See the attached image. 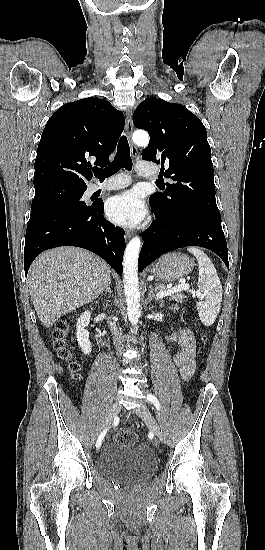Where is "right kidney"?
<instances>
[{
    "label": "right kidney",
    "instance_id": "obj_1",
    "mask_svg": "<svg viewBox=\"0 0 265 550\" xmlns=\"http://www.w3.org/2000/svg\"><path fill=\"white\" fill-rule=\"evenodd\" d=\"M90 321V312L85 311L77 319V341L78 345L81 347L84 355H89L92 351V345L89 340V332L85 329L88 326Z\"/></svg>",
    "mask_w": 265,
    "mask_h": 550
}]
</instances>
